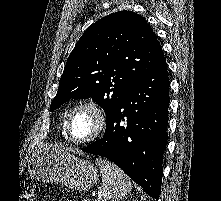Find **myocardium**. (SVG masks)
Instances as JSON below:
<instances>
[{
  "instance_id": "1",
  "label": "myocardium",
  "mask_w": 221,
  "mask_h": 201,
  "mask_svg": "<svg viewBox=\"0 0 221 201\" xmlns=\"http://www.w3.org/2000/svg\"><path fill=\"white\" fill-rule=\"evenodd\" d=\"M81 110L91 112L96 119V128L92 135L85 139H76L71 134V121L73 116ZM106 127V116L101 106L93 100H86L75 105L68 113L65 120V134L68 140L75 144H87L95 141L104 132Z\"/></svg>"
}]
</instances>
